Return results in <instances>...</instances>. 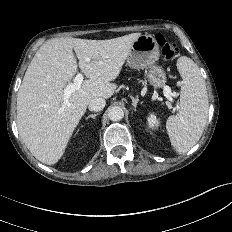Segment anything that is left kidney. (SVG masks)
Instances as JSON below:
<instances>
[{
	"mask_svg": "<svg viewBox=\"0 0 232 232\" xmlns=\"http://www.w3.org/2000/svg\"><path fill=\"white\" fill-rule=\"evenodd\" d=\"M147 122H148V126L152 129H155L159 126V119H157V116L154 113H151L147 117Z\"/></svg>",
	"mask_w": 232,
	"mask_h": 232,
	"instance_id": "left-kidney-1",
	"label": "left kidney"
}]
</instances>
